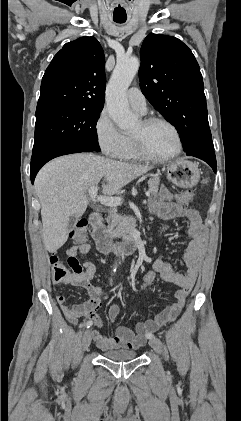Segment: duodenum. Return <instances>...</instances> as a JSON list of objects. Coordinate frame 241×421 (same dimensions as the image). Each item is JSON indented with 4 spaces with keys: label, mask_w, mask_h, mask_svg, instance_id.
Returning a JSON list of instances; mask_svg holds the SVG:
<instances>
[{
    "label": "duodenum",
    "mask_w": 241,
    "mask_h": 421,
    "mask_svg": "<svg viewBox=\"0 0 241 421\" xmlns=\"http://www.w3.org/2000/svg\"><path fill=\"white\" fill-rule=\"evenodd\" d=\"M90 223L97 249L101 253L132 254L138 249V240L133 236H128L122 241H114L103 225L101 213L94 212L90 217Z\"/></svg>",
    "instance_id": "410a0bca"
}]
</instances>
